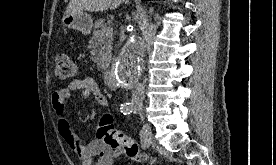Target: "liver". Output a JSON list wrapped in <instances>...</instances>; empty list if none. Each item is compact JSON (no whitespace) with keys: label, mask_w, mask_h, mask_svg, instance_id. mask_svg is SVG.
<instances>
[{"label":"liver","mask_w":276,"mask_h":165,"mask_svg":"<svg viewBox=\"0 0 276 165\" xmlns=\"http://www.w3.org/2000/svg\"><path fill=\"white\" fill-rule=\"evenodd\" d=\"M125 0H71L64 15L75 14L77 12H103L109 8L114 10Z\"/></svg>","instance_id":"obj_1"}]
</instances>
